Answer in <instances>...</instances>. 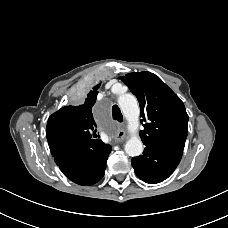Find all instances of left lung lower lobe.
I'll use <instances>...</instances> for the list:
<instances>
[{
  "label": "left lung lower lobe",
  "instance_id": "obj_1",
  "mask_svg": "<svg viewBox=\"0 0 228 228\" xmlns=\"http://www.w3.org/2000/svg\"><path fill=\"white\" fill-rule=\"evenodd\" d=\"M143 155L132 158L136 175L146 183H159L167 179L179 164L183 150L163 145L145 144Z\"/></svg>",
  "mask_w": 228,
  "mask_h": 228
}]
</instances>
